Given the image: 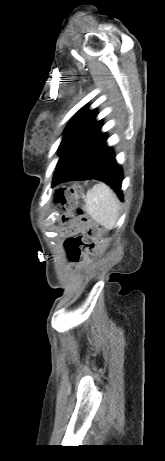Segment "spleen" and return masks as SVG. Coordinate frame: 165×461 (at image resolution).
Returning a JSON list of instances; mask_svg holds the SVG:
<instances>
[{"instance_id": "1", "label": "spleen", "mask_w": 165, "mask_h": 461, "mask_svg": "<svg viewBox=\"0 0 165 461\" xmlns=\"http://www.w3.org/2000/svg\"><path fill=\"white\" fill-rule=\"evenodd\" d=\"M85 211L106 229H113L119 218V201L115 193L105 183H98L85 197Z\"/></svg>"}]
</instances>
